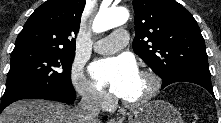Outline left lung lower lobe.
Masks as SVG:
<instances>
[{
  "instance_id": "1",
  "label": "left lung lower lobe",
  "mask_w": 221,
  "mask_h": 123,
  "mask_svg": "<svg viewBox=\"0 0 221 123\" xmlns=\"http://www.w3.org/2000/svg\"><path fill=\"white\" fill-rule=\"evenodd\" d=\"M175 82H191L198 84L207 89L214 96L213 87L211 84V75H205L198 72H184L171 75L163 79L162 89L168 86L169 84Z\"/></svg>"
}]
</instances>
